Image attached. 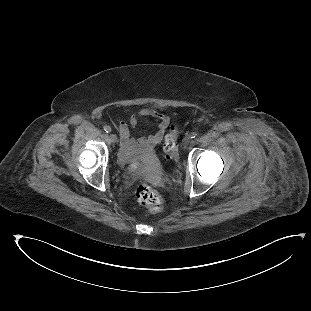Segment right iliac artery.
Returning a JSON list of instances; mask_svg holds the SVG:
<instances>
[{"label": "right iliac artery", "instance_id": "obj_1", "mask_svg": "<svg viewBox=\"0 0 311 311\" xmlns=\"http://www.w3.org/2000/svg\"><path fill=\"white\" fill-rule=\"evenodd\" d=\"M104 130H105L107 133H110V132H111V127H110V126H105V127H104Z\"/></svg>", "mask_w": 311, "mask_h": 311}]
</instances>
